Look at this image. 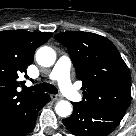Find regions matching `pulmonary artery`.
<instances>
[{
  "mask_svg": "<svg viewBox=\"0 0 136 136\" xmlns=\"http://www.w3.org/2000/svg\"><path fill=\"white\" fill-rule=\"evenodd\" d=\"M70 67V59L66 56L60 57L50 74V78L58 81L62 93L68 99L79 102L82 100V96L70 81Z\"/></svg>",
  "mask_w": 136,
  "mask_h": 136,
  "instance_id": "pulmonary-artery-1",
  "label": "pulmonary artery"
}]
</instances>
